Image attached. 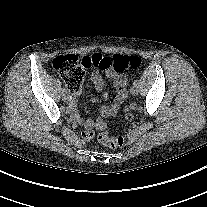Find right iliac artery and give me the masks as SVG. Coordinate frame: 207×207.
Masks as SVG:
<instances>
[{
  "mask_svg": "<svg viewBox=\"0 0 207 207\" xmlns=\"http://www.w3.org/2000/svg\"><path fill=\"white\" fill-rule=\"evenodd\" d=\"M65 93H67V91H66V89L64 88V89L62 90V94H65Z\"/></svg>",
  "mask_w": 207,
  "mask_h": 207,
  "instance_id": "right-iliac-artery-1",
  "label": "right iliac artery"
}]
</instances>
